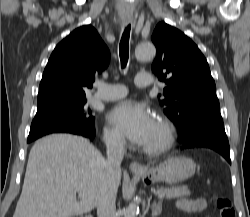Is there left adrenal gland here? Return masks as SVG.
I'll list each match as a JSON object with an SVG mask.
<instances>
[{"label":"left adrenal gland","mask_w":250,"mask_h":217,"mask_svg":"<svg viewBox=\"0 0 250 217\" xmlns=\"http://www.w3.org/2000/svg\"><path fill=\"white\" fill-rule=\"evenodd\" d=\"M150 207V200L148 201L147 208ZM152 209V217H157L161 214L162 211V201L160 200L158 203L154 202L151 206Z\"/></svg>","instance_id":"left-adrenal-gland-1"}]
</instances>
